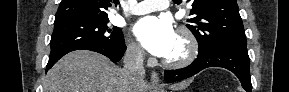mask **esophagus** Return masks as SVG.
I'll return each instance as SVG.
<instances>
[{
    "instance_id": "34e87169",
    "label": "esophagus",
    "mask_w": 289,
    "mask_h": 92,
    "mask_svg": "<svg viewBox=\"0 0 289 92\" xmlns=\"http://www.w3.org/2000/svg\"><path fill=\"white\" fill-rule=\"evenodd\" d=\"M151 83L153 85L159 84V76H158L157 72H155V71H152V73H151Z\"/></svg>"
}]
</instances>
